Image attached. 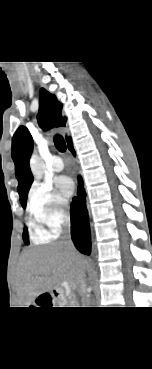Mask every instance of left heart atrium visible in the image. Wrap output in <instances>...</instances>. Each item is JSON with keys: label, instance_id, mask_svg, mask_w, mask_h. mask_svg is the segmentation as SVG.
Returning a JSON list of instances; mask_svg holds the SVG:
<instances>
[{"label": "left heart atrium", "instance_id": "obj_1", "mask_svg": "<svg viewBox=\"0 0 152 369\" xmlns=\"http://www.w3.org/2000/svg\"><path fill=\"white\" fill-rule=\"evenodd\" d=\"M56 188L59 193L68 200L74 192V183L71 178L67 176H60L56 179Z\"/></svg>", "mask_w": 152, "mask_h": 369}]
</instances>
